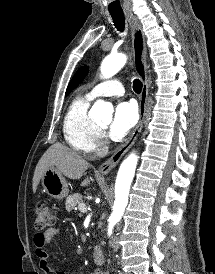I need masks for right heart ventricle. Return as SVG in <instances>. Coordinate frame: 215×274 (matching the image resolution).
<instances>
[{"label": "right heart ventricle", "instance_id": "obj_1", "mask_svg": "<svg viewBox=\"0 0 215 274\" xmlns=\"http://www.w3.org/2000/svg\"><path fill=\"white\" fill-rule=\"evenodd\" d=\"M91 99L77 96L70 103L63 121V134L67 144L75 151L89 153L98 127L88 115Z\"/></svg>", "mask_w": 215, "mask_h": 274}]
</instances>
